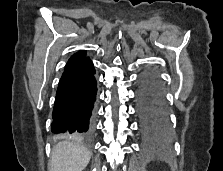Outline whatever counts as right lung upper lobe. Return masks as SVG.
<instances>
[{
    "mask_svg": "<svg viewBox=\"0 0 223 171\" xmlns=\"http://www.w3.org/2000/svg\"><path fill=\"white\" fill-rule=\"evenodd\" d=\"M86 53L85 51L81 50L77 53H75L74 55L71 56V58L68 60L66 67L71 66L73 64H76L78 62L84 61L86 59H88L87 57H85ZM65 67V68H66Z\"/></svg>",
    "mask_w": 223,
    "mask_h": 171,
    "instance_id": "1",
    "label": "right lung upper lobe"
}]
</instances>
